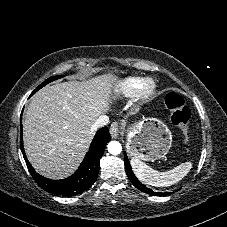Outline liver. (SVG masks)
Here are the masks:
<instances>
[{
    "label": "liver",
    "mask_w": 227,
    "mask_h": 227,
    "mask_svg": "<svg viewBox=\"0 0 227 227\" xmlns=\"http://www.w3.org/2000/svg\"><path fill=\"white\" fill-rule=\"evenodd\" d=\"M119 81L112 74L46 86L31 99L23 121L33 168L51 179L74 173L94 137L93 124L109 110Z\"/></svg>",
    "instance_id": "obj_1"
}]
</instances>
